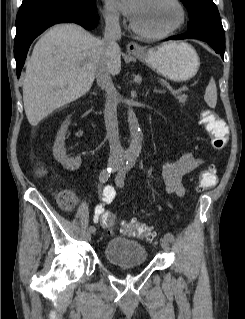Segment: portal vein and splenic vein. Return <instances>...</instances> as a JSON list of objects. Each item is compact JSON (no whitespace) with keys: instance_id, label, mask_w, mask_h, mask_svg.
<instances>
[{"instance_id":"portal-vein-and-splenic-vein-1","label":"portal vein and splenic vein","mask_w":245,"mask_h":319,"mask_svg":"<svg viewBox=\"0 0 245 319\" xmlns=\"http://www.w3.org/2000/svg\"><path fill=\"white\" fill-rule=\"evenodd\" d=\"M187 89V87L186 86H183V87H181V88H179V89H177V90H175L176 92H180V91H183V90H186Z\"/></svg>"}]
</instances>
